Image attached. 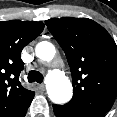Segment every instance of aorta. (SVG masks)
<instances>
[{"instance_id":"aorta-1","label":"aorta","mask_w":117,"mask_h":117,"mask_svg":"<svg viewBox=\"0 0 117 117\" xmlns=\"http://www.w3.org/2000/svg\"><path fill=\"white\" fill-rule=\"evenodd\" d=\"M35 52L39 59L49 62L54 58L56 51L52 43L42 41L37 44ZM46 88L49 98L55 104L67 103L72 98V84L68 77L60 71H54L48 75Z\"/></svg>"}]
</instances>
